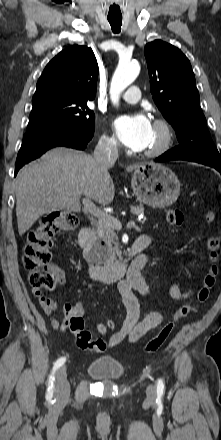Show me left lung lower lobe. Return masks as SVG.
<instances>
[{"label":"left lung lower lobe","mask_w":221,"mask_h":440,"mask_svg":"<svg viewBox=\"0 0 221 440\" xmlns=\"http://www.w3.org/2000/svg\"><path fill=\"white\" fill-rule=\"evenodd\" d=\"M155 160L157 162H164V161H170V160H183V159L180 156H178L174 153H171L170 151H167L166 153H164L160 157L156 158ZM208 166L215 168L217 171H219L221 173V165L215 164V165H208Z\"/></svg>","instance_id":"obj_1"}]
</instances>
